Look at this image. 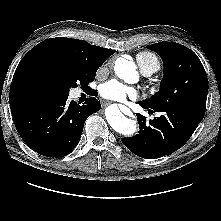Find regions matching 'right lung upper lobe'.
Wrapping results in <instances>:
<instances>
[{
	"label": "right lung upper lobe",
	"instance_id": "right-lung-upper-lobe-1",
	"mask_svg": "<svg viewBox=\"0 0 221 221\" xmlns=\"http://www.w3.org/2000/svg\"><path fill=\"white\" fill-rule=\"evenodd\" d=\"M114 53V50L90 45L78 39L58 37L45 40L33 47L20 61L12 79L9 102L18 94L43 95L29 80V70L36 64L65 58L98 70Z\"/></svg>",
	"mask_w": 221,
	"mask_h": 221
}]
</instances>
